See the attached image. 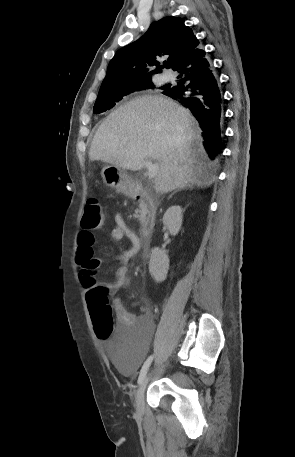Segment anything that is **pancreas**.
I'll return each mask as SVG.
<instances>
[{
  "label": "pancreas",
  "instance_id": "1",
  "mask_svg": "<svg viewBox=\"0 0 295 457\" xmlns=\"http://www.w3.org/2000/svg\"><path fill=\"white\" fill-rule=\"evenodd\" d=\"M139 213H140V211L137 210V211H136V214H135V218H140V219H141V216L139 215Z\"/></svg>",
  "mask_w": 295,
  "mask_h": 457
}]
</instances>
